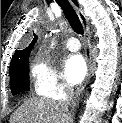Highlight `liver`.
<instances>
[{
  "label": "liver",
  "mask_w": 122,
  "mask_h": 123,
  "mask_svg": "<svg viewBox=\"0 0 122 123\" xmlns=\"http://www.w3.org/2000/svg\"><path fill=\"white\" fill-rule=\"evenodd\" d=\"M71 115L49 98L32 97L17 108L10 123H70Z\"/></svg>",
  "instance_id": "1"
}]
</instances>
